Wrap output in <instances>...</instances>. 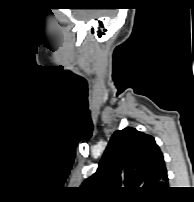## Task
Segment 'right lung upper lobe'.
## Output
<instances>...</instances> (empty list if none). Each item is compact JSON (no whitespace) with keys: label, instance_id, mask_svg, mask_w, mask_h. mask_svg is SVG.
Masks as SVG:
<instances>
[{"label":"right lung upper lobe","instance_id":"right-lung-upper-lobe-1","mask_svg":"<svg viewBox=\"0 0 194 202\" xmlns=\"http://www.w3.org/2000/svg\"><path fill=\"white\" fill-rule=\"evenodd\" d=\"M82 185L99 194L159 195L168 186L163 154L152 136L132 127L118 130L110 138L96 173Z\"/></svg>","mask_w":194,"mask_h":202}]
</instances>
